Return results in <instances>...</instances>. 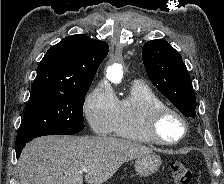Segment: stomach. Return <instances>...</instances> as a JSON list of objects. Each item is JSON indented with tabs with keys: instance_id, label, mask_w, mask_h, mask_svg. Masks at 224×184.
I'll list each match as a JSON object with an SVG mask.
<instances>
[{
	"instance_id": "obj_1",
	"label": "stomach",
	"mask_w": 224,
	"mask_h": 184,
	"mask_svg": "<svg viewBox=\"0 0 224 184\" xmlns=\"http://www.w3.org/2000/svg\"><path fill=\"white\" fill-rule=\"evenodd\" d=\"M161 165V158L150 153L140 156L135 161V170L140 176H149L155 173Z\"/></svg>"
}]
</instances>
